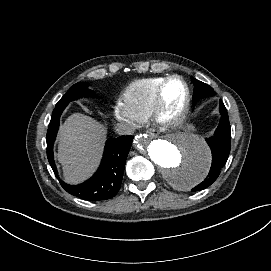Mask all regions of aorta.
Instances as JSON below:
<instances>
[{
  "instance_id": "762f6f07",
  "label": "aorta",
  "mask_w": 271,
  "mask_h": 271,
  "mask_svg": "<svg viewBox=\"0 0 271 271\" xmlns=\"http://www.w3.org/2000/svg\"><path fill=\"white\" fill-rule=\"evenodd\" d=\"M134 143L139 151L148 155L163 178L175 189L190 190L205 178L209 170L210 149L195 134L175 132L162 139L139 134Z\"/></svg>"
}]
</instances>
